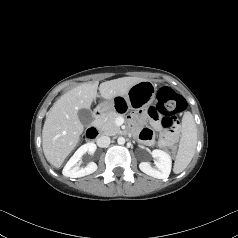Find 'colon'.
<instances>
[{
    "instance_id": "1",
    "label": "colon",
    "mask_w": 238,
    "mask_h": 238,
    "mask_svg": "<svg viewBox=\"0 0 238 238\" xmlns=\"http://www.w3.org/2000/svg\"><path fill=\"white\" fill-rule=\"evenodd\" d=\"M154 107L157 109V113H160L163 116L161 124L167 132L161 140V147L167 152L173 153L174 142L170 140L168 136L173 135L176 132L179 124L177 121V114L185 110L186 101L172 88L161 87L157 92V101Z\"/></svg>"
}]
</instances>
